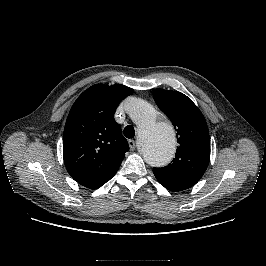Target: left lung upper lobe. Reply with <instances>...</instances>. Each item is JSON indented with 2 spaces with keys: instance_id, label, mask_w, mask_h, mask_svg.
Wrapping results in <instances>:
<instances>
[{
  "instance_id": "1",
  "label": "left lung upper lobe",
  "mask_w": 266,
  "mask_h": 266,
  "mask_svg": "<svg viewBox=\"0 0 266 266\" xmlns=\"http://www.w3.org/2000/svg\"><path fill=\"white\" fill-rule=\"evenodd\" d=\"M153 97L171 120L179 143L172 163L153 168V173L158 182L171 191L188 189L201 179L210 160L206 120L193 101L180 92L158 88Z\"/></svg>"
}]
</instances>
